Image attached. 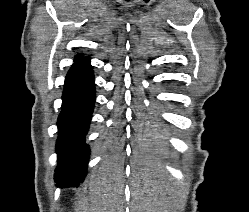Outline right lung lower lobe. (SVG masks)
I'll return each mask as SVG.
<instances>
[{"label": "right lung lower lobe", "instance_id": "1", "mask_svg": "<svg viewBox=\"0 0 249 212\" xmlns=\"http://www.w3.org/2000/svg\"><path fill=\"white\" fill-rule=\"evenodd\" d=\"M95 102L94 74L90 57L75 61L64 84L55 170L57 186L75 187L86 176L89 147L85 143Z\"/></svg>", "mask_w": 249, "mask_h": 212}]
</instances>
